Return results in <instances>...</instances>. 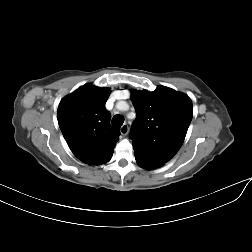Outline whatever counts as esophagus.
I'll return each instance as SVG.
<instances>
[{
    "label": "esophagus",
    "mask_w": 252,
    "mask_h": 252,
    "mask_svg": "<svg viewBox=\"0 0 252 252\" xmlns=\"http://www.w3.org/2000/svg\"><path fill=\"white\" fill-rule=\"evenodd\" d=\"M129 131V126L127 123H124L121 128H120V132L122 135H127Z\"/></svg>",
    "instance_id": "34e87169"
}]
</instances>
